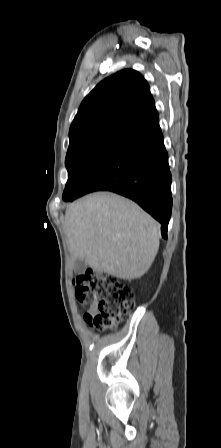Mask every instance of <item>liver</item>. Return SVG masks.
<instances>
[{
	"instance_id": "liver-1",
	"label": "liver",
	"mask_w": 221,
	"mask_h": 448,
	"mask_svg": "<svg viewBox=\"0 0 221 448\" xmlns=\"http://www.w3.org/2000/svg\"><path fill=\"white\" fill-rule=\"evenodd\" d=\"M159 224L133 201L110 192L89 194L66 211L73 261L123 280L144 275L159 249Z\"/></svg>"
}]
</instances>
